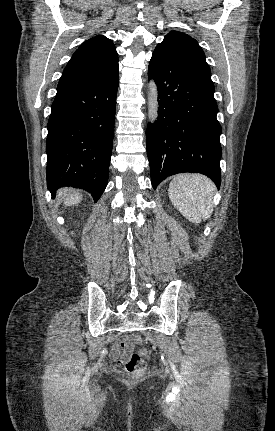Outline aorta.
I'll return each instance as SVG.
<instances>
[{
  "label": "aorta",
  "mask_w": 275,
  "mask_h": 431,
  "mask_svg": "<svg viewBox=\"0 0 275 431\" xmlns=\"http://www.w3.org/2000/svg\"><path fill=\"white\" fill-rule=\"evenodd\" d=\"M148 110H149V119L151 123H154L158 117V90L156 83L153 79L150 80L148 84Z\"/></svg>",
  "instance_id": "obj_1"
}]
</instances>
